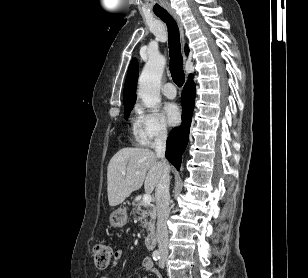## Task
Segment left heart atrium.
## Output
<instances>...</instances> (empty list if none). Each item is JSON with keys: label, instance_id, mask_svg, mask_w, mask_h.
<instances>
[{"label": "left heart atrium", "instance_id": "39dd6f15", "mask_svg": "<svg viewBox=\"0 0 308 278\" xmlns=\"http://www.w3.org/2000/svg\"><path fill=\"white\" fill-rule=\"evenodd\" d=\"M164 115L170 125H176L180 122L181 111L175 103H167L164 106Z\"/></svg>", "mask_w": 308, "mask_h": 278}]
</instances>
